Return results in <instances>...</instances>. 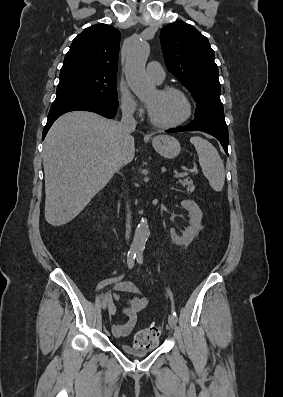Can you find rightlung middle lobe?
<instances>
[{
	"label": "right lung middle lobe",
	"instance_id": "1",
	"mask_svg": "<svg viewBox=\"0 0 283 397\" xmlns=\"http://www.w3.org/2000/svg\"><path fill=\"white\" fill-rule=\"evenodd\" d=\"M86 100L118 107L116 77H103L76 72L60 74L55 101Z\"/></svg>",
	"mask_w": 283,
	"mask_h": 397
}]
</instances>
